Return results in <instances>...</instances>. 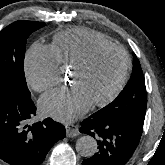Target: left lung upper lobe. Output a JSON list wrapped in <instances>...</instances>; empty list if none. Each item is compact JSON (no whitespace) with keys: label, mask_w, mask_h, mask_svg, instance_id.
Here are the masks:
<instances>
[{"label":"left lung upper lobe","mask_w":165,"mask_h":165,"mask_svg":"<svg viewBox=\"0 0 165 165\" xmlns=\"http://www.w3.org/2000/svg\"><path fill=\"white\" fill-rule=\"evenodd\" d=\"M147 95L144 75L134 54L133 71L126 87L107 106L93 114L101 119L144 123Z\"/></svg>","instance_id":"left-lung-upper-lobe-1"}]
</instances>
